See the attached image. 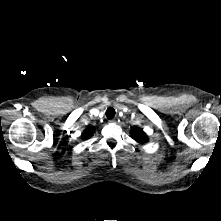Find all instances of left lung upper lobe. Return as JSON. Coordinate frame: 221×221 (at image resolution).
I'll return each mask as SVG.
<instances>
[{
  "mask_svg": "<svg viewBox=\"0 0 221 221\" xmlns=\"http://www.w3.org/2000/svg\"><path fill=\"white\" fill-rule=\"evenodd\" d=\"M131 136L134 140L141 144L146 143L148 140L146 134L140 128H134Z\"/></svg>",
  "mask_w": 221,
  "mask_h": 221,
  "instance_id": "5c2ea615",
  "label": "left lung upper lobe"
}]
</instances>
